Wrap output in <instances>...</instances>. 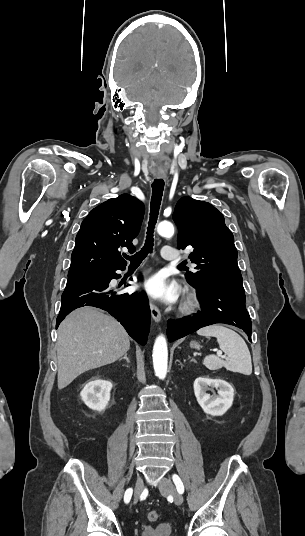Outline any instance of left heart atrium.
I'll use <instances>...</instances> for the list:
<instances>
[{
  "instance_id": "39dd6f15",
  "label": "left heart atrium",
  "mask_w": 305,
  "mask_h": 536,
  "mask_svg": "<svg viewBox=\"0 0 305 536\" xmlns=\"http://www.w3.org/2000/svg\"><path fill=\"white\" fill-rule=\"evenodd\" d=\"M144 290L153 298L174 299L176 297L175 291L168 288L159 275L148 279L144 285Z\"/></svg>"
}]
</instances>
